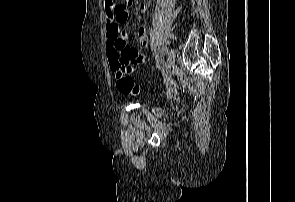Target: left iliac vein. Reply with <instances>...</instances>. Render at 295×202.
<instances>
[{
  "label": "left iliac vein",
  "instance_id": "1",
  "mask_svg": "<svg viewBox=\"0 0 295 202\" xmlns=\"http://www.w3.org/2000/svg\"><path fill=\"white\" fill-rule=\"evenodd\" d=\"M175 60H176L175 50L170 49L169 52H168V55H167L166 68L171 69L175 64Z\"/></svg>",
  "mask_w": 295,
  "mask_h": 202
}]
</instances>
